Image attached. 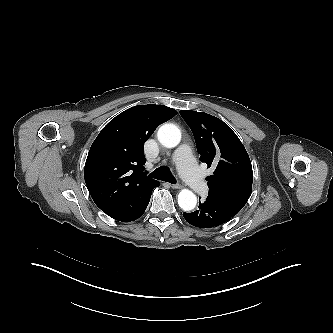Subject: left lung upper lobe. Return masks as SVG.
I'll list each match as a JSON object with an SVG mask.
<instances>
[{"instance_id": "5c2ea615", "label": "left lung upper lobe", "mask_w": 333, "mask_h": 333, "mask_svg": "<svg viewBox=\"0 0 333 333\" xmlns=\"http://www.w3.org/2000/svg\"><path fill=\"white\" fill-rule=\"evenodd\" d=\"M180 114L194 134L200 161L215 168L206 178L208 197L238 213L251 195L253 182L243 144L227 124L210 114L185 110Z\"/></svg>"}]
</instances>
